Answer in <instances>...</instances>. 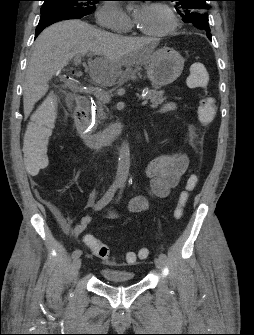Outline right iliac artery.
<instances>
[{
	"label": "right iliac artery",
	"instance_id": "82829eb1",
	"mask_svg": "<svg viewBox=\"0 0 254 335\" xmlns=\"http://www.w3.org/2000/svg\"><path fill=\"white\" fill-rule=\"evenodd\" d=\"M117 189V185H112L109 190L105 193V195L97 202L96 206H95V210H99L101 208H103L104 206H106L113 198L115 192ZM82 254V251L80 249H76L75 251H73L72 253V258H77L80 257Z\"/></svg>",
	"mask_w": 254,
	"mask_h": 335
}]
</instances>
